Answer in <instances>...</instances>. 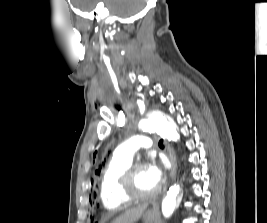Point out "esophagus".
<instances>
[{
	"label": "esophagus",
	"mask_w": 267,
	"mask_h": 223,
	"mask_svg": "<svg viewBox=\"0 0 267 223\" xmlns=\"http://www.w3.org/2000/svg\"><path fill=\"white\" fill-rule=\"evenodd\" d=\"M165 145H166L167 152H168V158L171 162L170 176L173 178L174 175L176 174V168H177L176 155H175L173 148L170 146V144L165 142Z\"/></svg>",
	"instance_id": "obj_1"
}]
</instances>
